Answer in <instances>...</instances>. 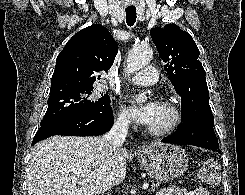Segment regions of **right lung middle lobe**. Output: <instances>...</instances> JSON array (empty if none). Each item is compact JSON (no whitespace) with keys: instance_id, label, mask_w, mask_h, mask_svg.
Segmentation results:
<instances>
[{"instance_id":"right-lung-middle-lobe-1","label":"right lung middle lobe","mask_w":245,"mask_h":195,"mask_svg":"<svg viewBox=\"0 0 245 195\" xmlns=\"http://www.w3.org/2000/svg\"><path fill=\"white\" fill-rule=\"evenodd\" d=\"M93 86L70 87L50 93L48 109L41 121V126L68 115L94 109L99 105H110V97L101 94L93 96Z\"/></svg>"}]
</instances>
